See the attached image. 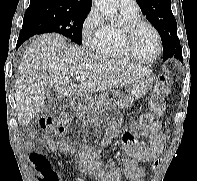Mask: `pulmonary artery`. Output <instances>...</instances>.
<instances>
[{
  "label": "pulmonary artery",
  "instance_id": "pulmonary-artery-1",
  "mask_svg": "<svg viewBox=\"0 0 197 181\" xmlns=\"http://www.w3.org/2000/svg\"><path fill=\"white\" fill-rule=\"evenodd\" d=\"M118 6L122 10H137L138 5L135 0H118Z\"/></svg>",
  "mask_w": 197,
  "mask_h": 181
}]
</instances>
